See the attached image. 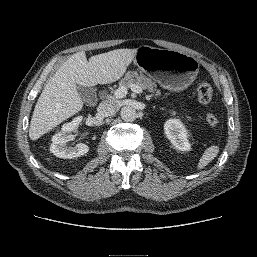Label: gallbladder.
<instances>
[{
  "label": "gallbladder",
  "mask_w": 257,
  "mask_h": 257,
  "mask_svg": "<svg viewBox=\"0 0 257 257\" xmlns=\"http://www.w3.org/2000/svg\"><path fill=\"white\" fill-rule=\"evenodd\" d=\"M78 93L85 103H89L96 97V92L92 87H81L77 88Z\"/></svg>",
  "instance_id": "bac80fb5"
}]
</instances>
